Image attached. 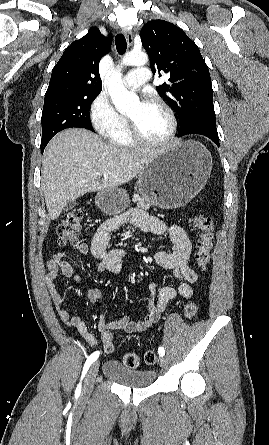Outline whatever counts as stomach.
<instances>
[{
	"instance_id": "obj_1",
	"label": "stomach",
	"mask_w": 269,
	"mask_h": 445,
	"mask_svg": "<svg viewBox=\"0 0 269 445\" xmlns=\"http://www.w3.org/2000/svg\"><path fill=\"white\" fill-rule=\"evenodd\" d=\"M212 169V156L199 142L178 141L159 152L139 173L140 194L163 209L189 203L204 187ZM96 205L107 215L117 216L129 206L127 192L120 188L100 191Z\"/></svg>"
}]
</instances>
